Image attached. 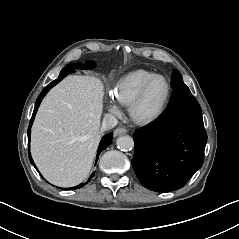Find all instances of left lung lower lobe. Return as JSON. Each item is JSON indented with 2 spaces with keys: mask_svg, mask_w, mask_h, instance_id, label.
<instances>
[{
  "mask_svg": "<svg viewBox=\"0 0 239 239\" xmlns=\"http://www.w3.org/2000/svg\"><path fill=\"white\" fill-rule=\"evenodd\" d=\"M132 166L141 184L156 192L182 188L201 168L207 134L189 88L173 89L161 118L133 134Z\"/></svg>",
  "mask_w": 239,
  "mask_h": 239,
  "instance_id": "1",
  "label": "left lung lower lobe"
}]
</instances>
